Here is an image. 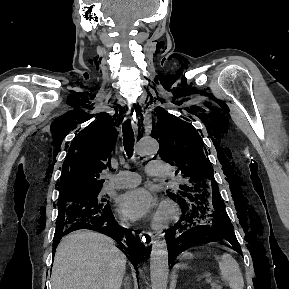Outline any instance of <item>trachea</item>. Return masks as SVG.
<instances>
[{
	"instance_id": "1",
	"label": "trachea",
	"mask_w": 289,
	"mask_h": 289,
	"mask_svg": "<svg viewBox=\"0 0 289 289\" xmlns=\"http://www.w3.org/2000/svg\"><path fill=\"white\" fill-rule=\"evenodd\" d=\"M123 145L124 149L129 157L133 155V147H134V132L131 126L130 120H126L123 123Z\"/></svg>"
}]
</instances>
